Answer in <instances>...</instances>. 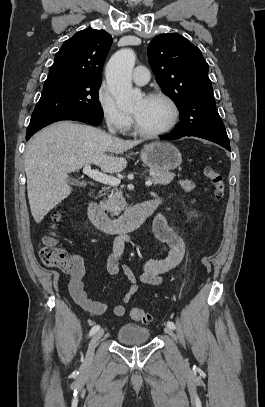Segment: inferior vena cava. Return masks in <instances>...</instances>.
<instances>
[{"label": "inferior vena cava", "instance_id": "1", "mask_svg": "<svg viewBox=\"0 0 265 407\" xmlns=\"http://www.w3.org/2000/svg\"><path fill=\"white\" fill-rule=\"evenodd\" d=\"M108 129H109V132H110V133H112V134L115 133V129L112 127V124H111V123L108 124Z\"/></svg>", "mask_w": 265, "mask_h": 407}]
</instances>
